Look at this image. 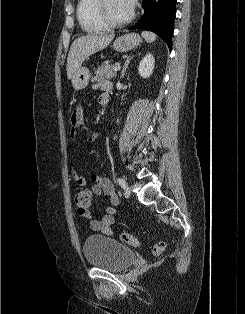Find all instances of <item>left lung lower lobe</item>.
Listing matches in <instances>:
<instances>
[{
  "mask_svg": "<svg viewBox=\"0 0 245 314\" xmlns=\"http://www.w3.org/2000/svg\"><path fill=\"white\" fill-rule=\"evenodd\" d=\"M176 0H142L144 13L129 29H145L156 33L171 50L176 14Z\"/></svg>",
  "mask_w": 245,
  "mask_h": 314,
  "instance_id": "0a47b994",
  "label": "left lung lower lobe"
}]
</instances>
